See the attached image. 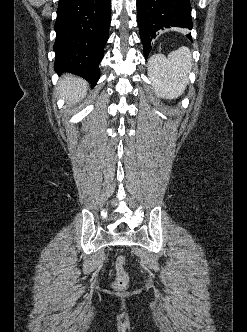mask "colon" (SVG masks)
<instances>
[{
	"label": "colon",
	"instance_id": "obj_1",
	"mask_svg": "<svg viewBox=\"0 0 247 332\" xmlns=\"http://www.w3.org/2000/svg\"><path fill=\"white\" fill-rule=\"evenodd\" d=\"M129 285V275L126 271V258L118 256L115 261V279L113 289L116 291H125Z\"/></svg>",
	"mask_w": 247,
	"mask_h": 332
}]
</instances>
